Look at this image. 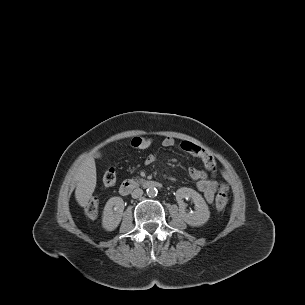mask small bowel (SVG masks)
<instances>
[{
    "label": "small bowel",
    "mask_w": 305,
    "mask_h": 305,
    "mask_svg": "<svg viewBox=\"0 0 305 305\" xmlns=\"http://www.w3.org/2000/svg\"><path fill=\"white\" fill-rule=\"evenodd\" d=\"M174 145L175 140L173 137H165L162 141V146L165 148H171ZM180 148L203 162L204 169L190 168L189 175L196 181V187L203 194L205 200L208 203H212L217 190V183L214 180L216 174V161L213 155L208 150L189 141L181 142ZM155 161L156 156L154 154H149L145 158V163L147 165H150Z\"/></svg>",
    "instance_id": "c3829d8e"
}]
</instances>
